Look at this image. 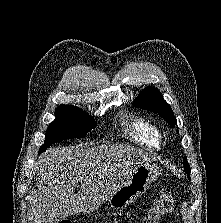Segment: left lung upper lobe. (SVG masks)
<instances>
[{
	"label": "left lung upper lobe",
	"mask_w": 221,
	"mask_h": 223,
	"mask_svg": "<svg viewBox=\"0 0 221 223\" xmlns=\"http://www.w3.org/2000/svg\"><path fill=\"white\" fill-rule=\"evenodd\" d=\"M133 105L157 113L160 117L166 119L171 126L176 125V118L171 107L162 98V95L155 87L148 86L144 88L134 100ZM183 163L184 170L190 179V166L186 156L183 159Z\"/></svg>",
	"instance_id": "left-lung-upper-lobe-1"
}]
</instances>
